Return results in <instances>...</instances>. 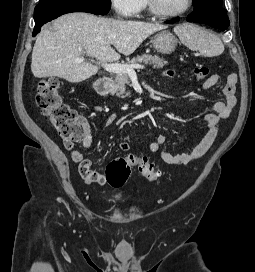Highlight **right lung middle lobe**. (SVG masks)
I'll return each mask as SVG.
<instances>
[{
  "label": "right lung middle lobe",
  "instance_id": "right-lung-middle-lobe-1",
  "mask_svg": "<svg viewBox=\"0 0 255 272\" xmlns=\"http://www.w3.org/2000/svg\"><path fill=\"white\" fill-rule=\"evenodd\" d=\"M40 3H71L92 9L105 15L111 8V0H40Z\"/></svg>",
  "mask_w": 255,
  "mask_h": 272
}]
</instances>
